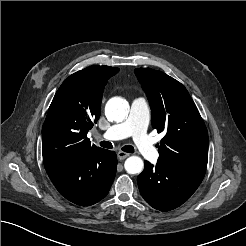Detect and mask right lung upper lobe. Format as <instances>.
Returning <instances> with one entry per match:
<instances>
[{"label": "right lung upper lobe", "instance_id": "obj_1", "mask_svg": "<svg viewBox=\"0 0 246 246\" xmlns=\"http://www.w3.org/2000/svg\"><path fill=\"white\" fill-rule=\"evenodd\" d=\"M118 71L109 66H90L62 83L42 127L44 165L102 149L91 145L87 133L100 117L104 86Z\"/></svg>", "mask_w": 246, "mask_h": 246}]
</instances>
